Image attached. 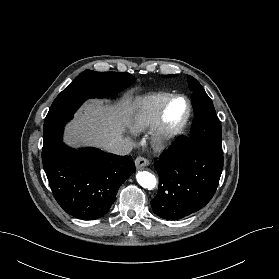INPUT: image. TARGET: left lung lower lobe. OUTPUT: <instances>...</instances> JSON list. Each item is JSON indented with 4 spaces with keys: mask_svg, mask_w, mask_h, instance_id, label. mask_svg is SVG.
<instances>
[{
    "mask_svg": "<svg viewBox=\"0 0 279 279\" xmlns=\"http://www.w3.org/2000/svg\"><path fill=\"white\" fill-rule=\"evenodd\" d=\"M223 168V153L201 143L179 139L155 163L159 189L153 212L177 220L197 212L213 197Z\"/></svg>",
    "mask_w": 279,
    "mask_h": 279,
    "instance_id": "1",
    "label": "left lung lower lobe"
}]
</instances>
